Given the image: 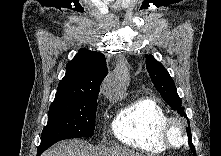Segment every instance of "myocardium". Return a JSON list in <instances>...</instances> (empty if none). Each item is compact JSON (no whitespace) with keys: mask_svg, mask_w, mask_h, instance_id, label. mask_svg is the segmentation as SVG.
<instances>
[{"mask_svg":"<svg viewBox=\"0 0 221 156\" xmlns=\"http://www.w3.org/2000/svg\"><path fill=\"white\" fill-rule=\"evenodd\" d=\"M175 125H178L182 129V133H183L182 142L178 146L174 145L171 141V130L173 126ZM161 138L164 144L167 146V148H170L173 150H178V149L183 148L186 145L187 139H188V130H187L186 123L178 117H169L162 127Z\"/></svg>","mask_w":221,"mask_h":156,"instance_id":"obj_1","label":"myocardium"}]
</instances>
